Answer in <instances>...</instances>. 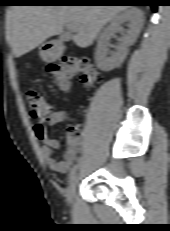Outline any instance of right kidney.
<instances>
[{
  "mask_svg": "<svg viewBox=\"0 0 170 231\" xmlns=\"http://www.w3.org/2000/svg\"><path fill=\"white\" fill-rule=\"evenodd\" d=\"M143 22V12L135 7L126 9L113 18L110 25L102 31L98 38L95 62L100 70L110 71L124 62L129 47L135 43L139 36ZM125 23L128 24L129 30L123 34L120 46L117 47L116 52L108 53L111 36Z\"/></svg>",
  "mask_w": 170,
  "mask_h": 231,
  "instance_id": "1",
  "label": "right kidney"
}]
</instances>
